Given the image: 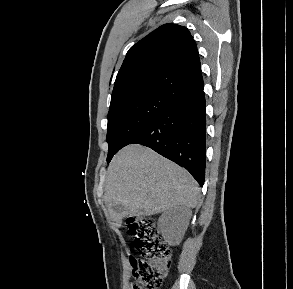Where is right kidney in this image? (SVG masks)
I'll return each instance as SVG.
<instances>
[{
	"mask_svg": "<svg viewBox=\"0 0 293 289\" xmlns=\"http://www.w3.org/2000/svg\"><path fill=\"white\" fill-rule=\"evenodd\" d=\"M191 213L187 208L174 207L165 211L158 220V228L171 244L179 243L187 230Z\"/></svg>",
	"mask_w": 293,
	"mask_h": 289,
	"instance_id": "right-kidney-1",
	"label": "right kidney"
}]
</instances>
